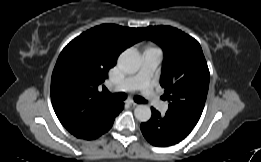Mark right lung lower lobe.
I'll return each instance as SVG.
<instances>
[{
  "label": "right lung lower lobe",
  "instance_id": "right-lung-lower-lobe-1",
  "mask_svg": "<svg viewBox=\"0 0 261 162\" xmlns=\"http://www.w3.org/2000/svg\"><path fill=\"white\" fill-rule=\"evenodd\" d=\"M122 104V109H123V103ZM121 109V110H122ZM114 121V120H113ZM113 121L111 123H109L107 126H105L97 135H95V137H93L92 139H96L99 136H101L102 134H104L105 132H107L113 125ZM90 140V139H89Z\"/></svg>",
  "mask_w": 261,
  "mask_h": 162
}]
</instances>
